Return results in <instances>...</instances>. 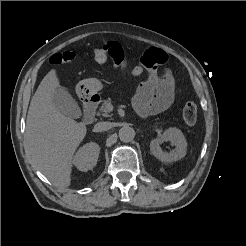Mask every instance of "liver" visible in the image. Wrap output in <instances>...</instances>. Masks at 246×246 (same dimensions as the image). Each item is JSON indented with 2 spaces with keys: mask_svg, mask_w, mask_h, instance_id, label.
<instances>
[{
  "mask_svg": "<svg viewBox=\"0 0 246 246\" xmlns=\"http://www.w3.org/2000/svg\"><path fill=\"white\" fill-rule=\"evenodd\" d=\"M59 87L55 69L42 79L32 97L26 120V150L35 167L55 186L71 184L73 156L87 128L60 113L53 104Z\"/></svg>",
  "mask_w": 246,
  "mask_h": 246,
  "instance_id": "1",
  "label": "liver"
}]
</instances>
